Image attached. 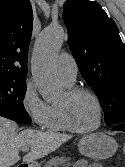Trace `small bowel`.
I'll use <instances>...</instances> for the list:
<instances>
[{
  "mask_svg": "<svg viewBox=\"0 0 125 167\" xmlns=\"http://www.w3.org/2000/svg\"><path fill=\"white\" fill-rule=\"evenodd\" d=\"M74 167H102V166L99 164H96V163H88L85 160H81V161L77 162L74 165Z\"/></svg>",
  "mask_w": 125,
  "mask_h": 167,
  "instance_id": "small-bowel-1",
  "label": "small bowel"
}]
</instances>
